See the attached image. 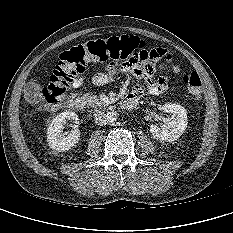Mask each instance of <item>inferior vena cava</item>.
Returning a JSON list of instances; mask_svg holds the SVG:
<instances>
[{"mask_svg": "<svg viewBox=\"0 0 233 233\" xmlns=\"http://www.w3.org/2000/svg\"><path fill=\"white\" fill-rule=\"evenodd\" d=\"M95 122L96 124L103 126L107 124L106 114L100 110L95 111Z\"/></svg>", "mask_w": 233, "mask_h": 233, "instance_id": "obj_1", "label": "inferior vena cava"}]
</instances>
